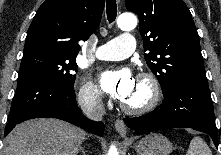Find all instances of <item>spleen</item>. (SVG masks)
Returning a JSON list of instances; mask_svg holds the SVG:
<instances>
[{"mask_svg": "<svg viewBox=\"0 0 221 155\" xmlns=\"http://www.w3.org/2000/svg\"><path fill=\"white\" fill-rule=\"evenodd\" d=\"M186 155H212V152L202 138L195 136L190 142Z\"/></svg>", "mask_w": 221, "mask_h": 155, "instance_id": "obj_1", "label": "spleen"}]
</instances>
